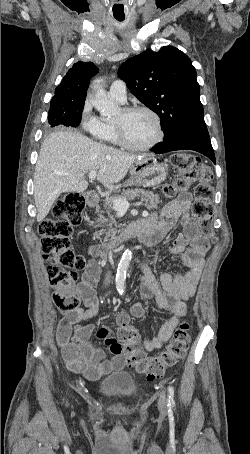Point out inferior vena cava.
I'll use <instances>...</instances> for the list:
<instances>
[{
    "label": "inferior vena cava",
    "mask_w": 250,
    "mask_h": 454,
    "mask_svg": "<svg viewBox=\"0 0 250 454\" xmlns=\"http://www.w3.org/2000/svg\"><path fill=\"white\" fill-rule=\"evenodd\" d=\"M110 277H111L110 272H108V273L106 274L105 284H108V283L110 282Z\"/></svg>",
    "instance_id": "602c4592"
}]
</instances>
